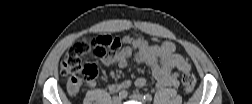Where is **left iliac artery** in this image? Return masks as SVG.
<instances>
[{
	"label": "left iliac artery",
	"instance_id": "44dca946",
	"mask_svg": "<svg viewBox=\"0 0 252 104\" xmlns=\"http://www.w3.org/2000/svg\"><path fill=\"white\" fill-rule=\"evenodd\" d=\"M144 99L149 102L152 100V96L150 94H146L144 95Z\"/></svg>",
	"mask_w": 252,
	"mask_h": 104
}]
</instances>
